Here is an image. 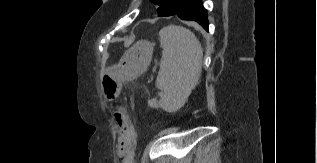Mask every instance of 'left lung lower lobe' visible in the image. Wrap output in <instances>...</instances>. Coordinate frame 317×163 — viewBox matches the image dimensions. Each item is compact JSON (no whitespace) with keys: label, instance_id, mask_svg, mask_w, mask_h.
Returning a JSON list of instances; mask_svg holds the SVG:
<instances>
[{"label":"left lung lower lobe","instance_id":"left-lung-lower-lobe-1","mask_svg":"<svg viewBox=\"0 0 317 163\" xmlns=\"http://www.w3.org/2000/svg\"><path fill=\"white\" fill-rule=\"evenodd\" d=\"M172 15H177L183 20H194L206 31H209L207 12L203 7L201 0H184L177 11Z\"/></svg>","mask_w":317,"mask_h":163}]
</instances>
